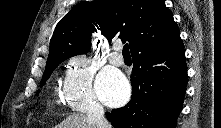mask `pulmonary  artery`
Masks as SVG:
<instances>
[{"label": "pulmonary artery", "mask_w": 221, "mask_h": 128, "mask_svg": "<svg viewBox=\"0 0 221 128\" xmlns=\"http://www.w3.org/2000/svg\"><path fill=\"white\" fill-rule=\"evenodd\" d=\"M121 45L115 44L113 51L109 55V62L114 66H122L124 63L123 57L120 55Z\"/></svg>", "instance_id": "e3ab8cb5"}]
</instances>
